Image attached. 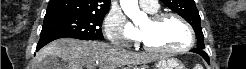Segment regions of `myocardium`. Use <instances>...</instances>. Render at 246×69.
Masks as SVG:
<instances>
[{
	"mask_svg": "<svg viewBox=\"0 0 246 69\" xmlns=\"http://www.w3.org/2000/svg\"><path fill=\"white\" fill-rule=\"evenodd\" d=\"M169 18L176 19L183 25V27L185 28L187 35H188V43L186 45L180 47V48L162 49V48L150 46L148 44V42H146L145 40L142 39L141 42L146 49L151 50L155 53L163 54V55H173V54L182 53V52H185V51L192 49L194 42H195V36H194L193 29L190 26V24L183 17H181L179 14L170 13V12L156 13L150 17V21L153 23H159V22L164 21V20L169 19Z\"/></svg>",
	"mask_w": 246,
	"mask_h": 69,
	"instance_id": "f54148a6",
	"label": "myocardium"
}]
</instances>
